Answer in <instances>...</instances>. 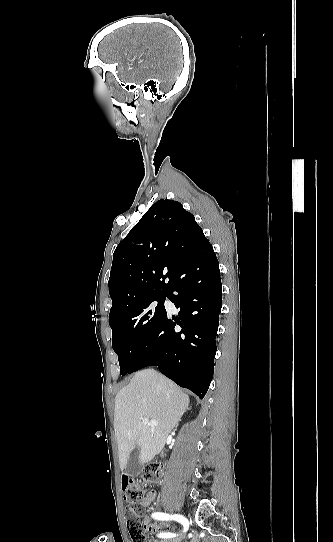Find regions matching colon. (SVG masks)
<instances>
[{
	"label": "colon",
	"instance_id": "obj_1",
	"mask_svg": "<svg viewBox=\"0 0 333 542\" xmlns=\"http://www.w3.org/2000/svg\"><path fill=\"white\" fill-rule=\"evenodd\" d=\"M160 480V470L157 465H147L142 474L129 478L128 489H123L126 504L128 528L133 542H145L143 524L140 522L143 512L141 504L146 501L147 484H153Z\"/></svg>",
	"mask_w": 333,
	"mask_h": 542
}]
</instances>
